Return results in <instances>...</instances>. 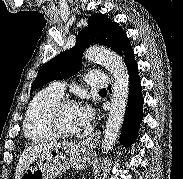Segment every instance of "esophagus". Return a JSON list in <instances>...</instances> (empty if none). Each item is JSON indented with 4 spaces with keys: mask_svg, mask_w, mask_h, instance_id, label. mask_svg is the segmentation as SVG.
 I'll use <instances>...</instances> for the list:
<instances>
[{
    "mask_svg": "<svg viewBox=\"0 0 183 179\" xmlns=\"http://www.w3.org/2000/svg\"><path fill=\"white\" fill-rule=\"evenodd\" d=\"M100 139V132L97 131L95 133H93L92 135H90L89 137H87L84 141L83 144L85 146H89V147H94L95 145L98 144Z\"/></svg>",
    "mask_w": 183,
    "mask_h": 179,
    "instance_id": "1",
    "label": "esophagus"
}]
</instances>
